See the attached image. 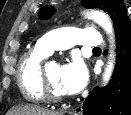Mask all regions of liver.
Segmentation results:
<instances>
[{"label": "liver", "instance_id": "obj_1", "mask_svg": "<svg viewBox=\"0 0 131 115\" xmlns=\"http://www.w3.org/2000/svg\"><path fill=\"white\" fill-rule=\"evenodd\" d=\"M9 114L13 115H58L56 112L44 110L36 106H18L14 108Z\"/></svg>", "mask_w": 131, "mask_h": 115}]
</instances>
